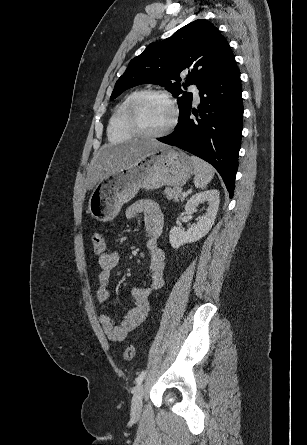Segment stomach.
<instances>
[{
  "label": "stomach",
  "mask_w": 307,
  "mask_h": 445,
  "mask_svg": "<svg viewBox=\"0 0 307 445\" xmlns=\"http://www.w3.org/2000/svg\"><path fill=\"white\" fill-rule=\"evenodd\" d=\"M191 174L193 162L188 154L171 146L156 148L133 166L118 168L101 178L89 198L88 210L93 218L108 223L140 188L183 186Z\"/></svg>",
  "instance_id": "1"
}]
</instances>
